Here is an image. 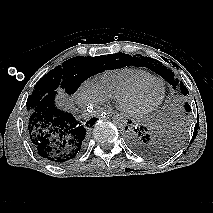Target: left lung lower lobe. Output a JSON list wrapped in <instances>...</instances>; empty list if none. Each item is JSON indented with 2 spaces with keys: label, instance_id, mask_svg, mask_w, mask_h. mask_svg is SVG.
Returning <instances> with one entry per match:
<instances>
[{
  "label": "left lung lower lobe",
  "instance_id": "obj_1",
  "mask_svg": "<svg viewBox=\"0 0 213 213\" xmlns=\"http://www.w3.org/2000/svg\"><path fill=\"white\" fill-rule=\"evenodd\" d=\"M125 129L127 130L125 133L126 141L129 147L137 154L149 158H159L166 155L163 138L157 130L144 125L126 127Z\"/></svg>",
  "mask_w": 213,
  "mask_h": 213
}]
</instances>
